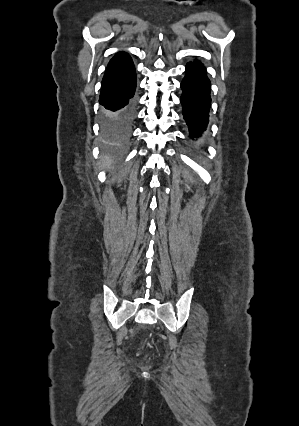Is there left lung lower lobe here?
Instances as JSON below:
<instances>
[{"label":"left lung lower lobe","instance_id":"1","mask_svg":"<svg viewBox=\"0 0 299 426\" xmlns=\"http://www.w3.org/2000/svg\"><path fill=\"white\" fill-rule=\"evenodd\" d=\"M186 75L181 83L183 94L180 98L190 137L198 138L206 130L211 104L210 80L206 68L200 61L189 62Z\"/></svg>","mask_w":299,"mask_h":426}]
</instances>
